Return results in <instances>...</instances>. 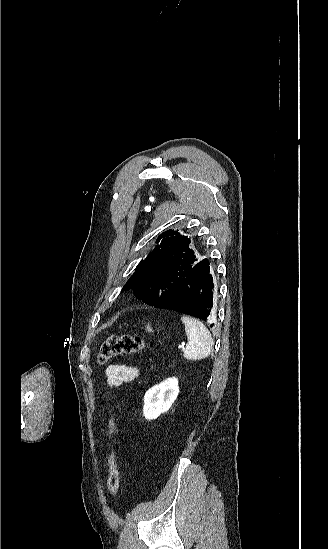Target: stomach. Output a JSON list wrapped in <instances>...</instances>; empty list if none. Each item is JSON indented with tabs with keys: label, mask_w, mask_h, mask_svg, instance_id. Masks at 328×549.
Here are the masks:
<instances>
[{
	"label": "stomach",
	"mask_w": 328,
	"mask_h": 549,
	"mask_svg": "<svg viewBox=\"0 0 328 549\" xmlns=\"http://www.w3.org/2000/svg\"><path fill=\"white\" fill-rule=\"evenodd\" d=\"M145 331L146 333H153L152 325H145Z\"/></svg>",
	"instance_id": "1"
}]
</instances>
